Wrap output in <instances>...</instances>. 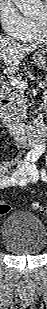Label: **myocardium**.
I'll return each instance as SVG.
<instances>
[{
  "label": "myocardium",
  "instance_id": "1",
  "mask_svg": "<svg viewBox=\"0 0 47 309\" xmlns=\"http://www.w3.org/2000/svg\"><path fill=\"white\" fill-rule=\"evenodd\" d=\"M34 23H35L37 29L39 30L40 34L43 37H45V35H46V27H47V17L45 16V19L43 21L35 19Z\"/></svg>",
  "mask_w": 47,
  "mask_h": 309
}]
</instances>
